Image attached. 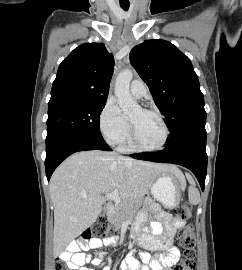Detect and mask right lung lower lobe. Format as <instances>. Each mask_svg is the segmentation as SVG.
<instances>
[{"label": "right lung lower lobe", "instance_id": "98d812e1", "mask_svg": "<svg viewBox=\"0 0 242 270\" xmlns=\"http://www.w3.org/2000/svg\"><path fill=\"white\" fill-rule=\"evenodd\" d=\"M111 151L104 139H96L82 135H65L46 144V176L49 181L56 167L69 155L84 150Z\"/></svg>", "mask_w": 242, "mask_h": 270}]
</instances>
